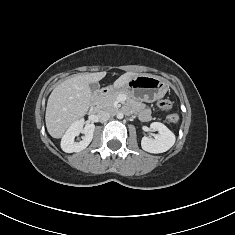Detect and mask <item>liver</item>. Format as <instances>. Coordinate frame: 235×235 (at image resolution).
Masks as SVG:
<instances>
[{
  "label": "liver",
  "instance_id": "6515ba94",
  "mask_svg": "<svg viewBox=\"0 0 235 235\" xmlns=\"http://www.w3.org/2000/svg\"><path fill=\"white\" fill-rule=\"evenodd\" d=\"M138 73L127 72L113 84L122 88ZM106 76V72L82 73L74 75L56 86L51 92L45 114L48 133L53 138H61L65 131L76 121L84 117L90 107V83L98 82Z\"/></svg>",
  "mask_w": 235,
  "mask_h": 235
}]
</instances>
